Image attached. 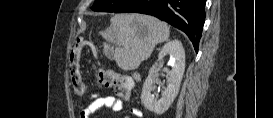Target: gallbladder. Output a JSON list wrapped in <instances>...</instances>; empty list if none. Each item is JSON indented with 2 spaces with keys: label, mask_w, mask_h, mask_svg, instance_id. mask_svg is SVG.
Here are the masks:
<instances>
[{
  "label": "gallbladder",
  "mask_w": 273,
  "mask_h": 118,
  "mask_svg": "<svg viewBox=\"0 0 273 118\" xmlns=\"http://www.w3.org/2000/svg\"><path fill=\"white\" fill-rule=\"evenodd\" d=\"M104 52L108 57H111L113 55V50H112L111 46L105 47Z\"/></svg>",
  "instance_id": "1"
}]
</instances>
